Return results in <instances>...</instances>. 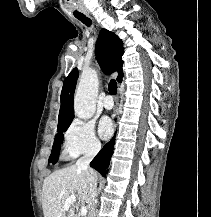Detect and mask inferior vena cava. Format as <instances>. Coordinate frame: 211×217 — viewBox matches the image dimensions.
<instances>
[{"instance_id":"602c4592","label":"inferior vena cava","mask_w":211,"mask_h":217,"mask_svg":"<svg viewBox=\"0 0 211 217\" xmlns=\"http://www.w3.org/2000/svg\"><path fill=\"white\" fill-rule=\"evenodd\" d=\"M100 150V145H93L83 157L77 160V167L81 169L87 178L89 194H90V210L88 217H96V197H97V180L94 174V171L89 168V164L94 156Z\"/></svg>"}]
</instances>
